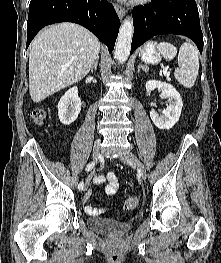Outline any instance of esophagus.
<instances>
[{
  "label": "esophagus",
  "instance_id": "1",
  "mask_svg": "<svg viewBox=\"0 0 221 263\" xmlns=\"http://www.w3.org/2000/svg\"><path fill=\"white\" fill-rule=\"evenodd\" d=\"M114 8L119 16L122 19L125 16V9L118 4H114Z\"/></svg>",
  "mask_w": 221,
  "mask_h": 263
}]
</instances>
